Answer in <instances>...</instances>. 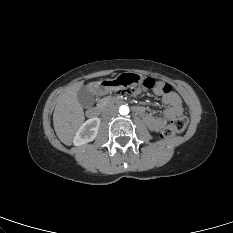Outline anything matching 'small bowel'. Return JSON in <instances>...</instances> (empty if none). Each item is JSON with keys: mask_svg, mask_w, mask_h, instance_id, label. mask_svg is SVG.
I'll use <instances>...</instances> for the list:
<instances>
[{"mask_svg": "<svg viewBox=\"0 0 233 233\" xmlns=\"http://www.w3.org/2000/svg\"><path fill=\"white\" fill-rule=\"evenodd\" d=\"M153 92L155 95L162 96V101L167 106L166 109H164L159 116L146 113L143 107H136L135 111L143 117L144 122L150 129L159 131L167 124L169 120L181 115L183 112V107L180 97L174 91L170 90L168 92H163L161 87L158 85L153 88Z\"/></svg>", "mask_w": 233, "mask_h": 233, "instance_id": "c3829d8e", "label": "small bowel"}]
</instances>
